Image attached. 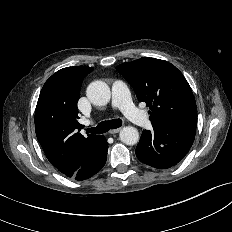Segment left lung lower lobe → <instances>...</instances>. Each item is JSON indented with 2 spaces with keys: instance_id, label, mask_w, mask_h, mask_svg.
<instances>
[{
  "instance_id": "1",
  "label": "left lung lower lobe",
  "mask_w": 232,
  "mask_h": 232,
  "mask_svg": "<svg viewBox=\"0 0 232 232\" xmlns=\"http://www.w3.org/2000/svg\"><path fill=\"white\" fill-rule=\"evenodd\" d=\"M196 129L177 126H154L144 130L136 147L137 158L157 169H167L179 163L191 148Z\"/></svg>"
}]
</instances>
